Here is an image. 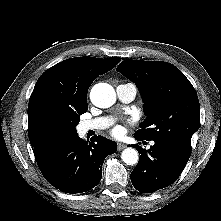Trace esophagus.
Here are the masks:
<instances>
[{"label":"esophagus","mask_w":221,"mask_h":221,"mask_svg":"<svg viewBox=\"0 0 221 221\" xmlns=\"http://www.w3.org/2000/svg\"><path fill=\"white\" fill-rule=\"evenodd\" d=\"M118 150L121 151L123 150L124 148H126V145L124 143H118V146H117Z\"/></svg>","instance_id":"1"}]
</instances>
